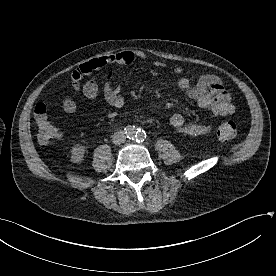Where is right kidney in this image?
<instances>
[{"label":"right kidney","mask_w":276,"mask_h":276,"mask_svg":"<svg viewBox=\"0 0 276 276\" xmlns=\"http://www.w3.org/2000/svg\"><path fill=\"white\" fill-rule=\"evenodd\" d=\"M85 147L82 145H75L71 150V161L74 163H80L85 154Z\"/></svg>","instance_id":"1"}]
</instances>
